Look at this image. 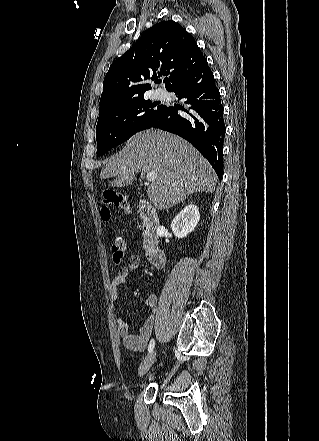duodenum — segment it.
<instances>
[{
	"label": "duodenum",
	"mask_w": 319,
	"mask_h": 441,
	"mask_svg": "<svg viewBox=\"0 0 319 441\" xmlns=\"http://www.w3.org/2000/svg\"><path fill=\"white\" fill-rule=\"evenodd\" d=\"M139 212L143 221V237L146 257L156 268H162L166 262L163 249L157 243V229L159 218L152 205L145 201H139Z\"/></svg>",
	"instance_id": "1"
}]
</instances>
